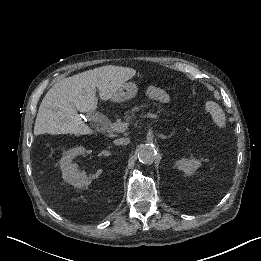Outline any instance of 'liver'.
<instances>
[{
  "label": "liver",
  "mask_w": 261,
  "mask_h": 261,
  "mask_svg": "<svg viewBox=\"0 0 261 261\" xmlns=\"http://www.w3.org/2000/svg\"><path fill=\"white\" fill-rule=\"evenodd\" d=\"M135 74L134 69L128 68H97L55 83L39 106L34 135L95 133L82 121L78 112L95 111L98 105L97 89L101 99L109 100L116 90Z\"/></svg>",
  "instance_id": "obj_1"
}]
</instances>
